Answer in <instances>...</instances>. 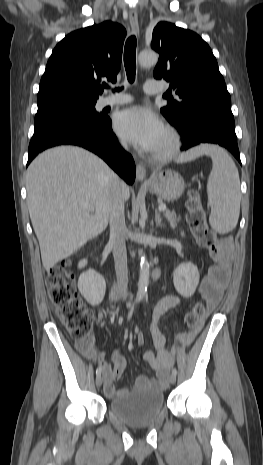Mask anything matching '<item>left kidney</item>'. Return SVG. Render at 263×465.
<instances>
[{"instance_id": "1", "label": "left kidney", "mask_w": 263, "mask_h": 465, "mask_svg": "<svg viewBox=\"0 0 263 465\" xmlns=\"http://www.w3.org/2000/svg\"><path fill=\"white\" fill-rule=\"evenodd\" d=\"M199 279L198 268L191 262L180 264L173 274L175 289L185 298L191 297L195 293Z\"/></svg>"}]
</instances>
